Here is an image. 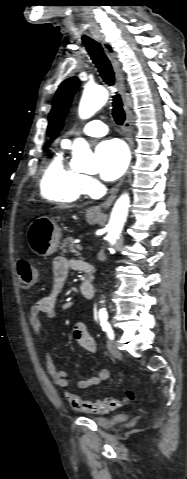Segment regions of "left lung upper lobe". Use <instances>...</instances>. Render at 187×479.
<instances>
[{"label":"left lung upper lobe","mask_w":187,"mask_h":479,"mask_svg":"<svg viewBox=\"0 0 187 479\" xmlns=\"http://www.w3.org/2000/svg\"><path fill=\"white\" fill-rule=\"evenodd\" d=\"M79 80L71 77L65 80L58 88L53 101V107L49 114L48 134L50 135L63 118L68 103L70 102L75 90L77 89Z\"/></svg>","instance_id":"5c2ea615"}]
</instances>
